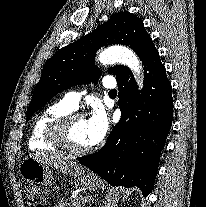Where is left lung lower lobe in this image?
Instances as JSON below:
<instances>
[{"mask_svg":"<svg viewBox=\"0 0 206 207\" xmlns=\"http://www.w3.org/2000/svg\"><path fill=\"white\" fill-rule=\"evenodd\" d=\"M145 85L141 94L132 72L118 83L121 119L98 152L79 161L114 186L153 188L160 152L172 125L173 99L159 52L154 45L141 58Z\"/></svg>","mask_w":206,"mask_h":207,"instance_id":"0a47b994","label":"left lung lower lobe"}]
</instances>
